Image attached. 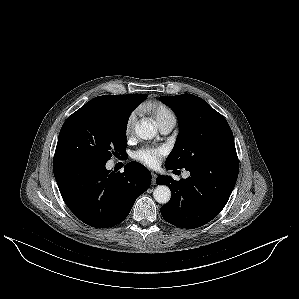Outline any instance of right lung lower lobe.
Here are the masks:
<instances>
[{
  "mask_svg": "<svg viewBox=\"0 0 299 299\" xmlns=\"http://www.w3.org/2000/svg\"><path fill=\"white\" fill-rule=\"evenodd\" d=\"M105 164L72 153H55L53 159L64 202L78 219L96 228L122 222L151 184L149 170L140 163H128L123 173L111 172Z\"/></svg>",
  "mask_w": 299,
  "mask_h": 299,
  "instance_id": "98d812e1",
  "label": "right lung lower lobe"
}]
</instances>
